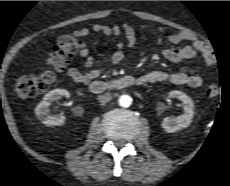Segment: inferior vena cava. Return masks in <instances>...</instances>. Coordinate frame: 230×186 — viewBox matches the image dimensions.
<instances>
[{
  "mask_svg": "<svg viewBox=\"0 0 230 186\" xmlns=\"http://www.w3.org/2000/svg\"><path fill=\"white\" fill-rule=\"evenodd\" d=\"M111 99H112V95H111V93H109V92H106V93H104V94L98 96V100H99L101 103H107V102H109Z\"/></svg>",
  "mask_w": 230,
  "mask_h": 186,
  "instance_id": "obj_1",
  "label": "inferior vena cava"
}]
</instances>
